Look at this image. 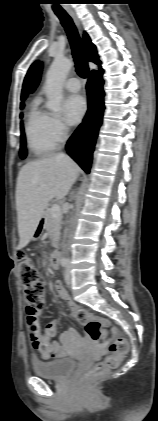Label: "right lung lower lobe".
Listing matches in <instances>:
<instances>
[{
	"label": "right lung lower lobe",
	"instance_id": "obj_1",
	"mask_svg": "<svg viewBox=\"0 0 158 421\" xmlns=\"http://www.w3.org/2000/svg\"><path fill=\"white\" fill-rule=\"evenodd\" d=\"M103 70L92 71L86 89L88 94V111L83 122L68 140L66 149L68 154L89 173L92 153L95 146L99 127L102 123L104 110Z\"/></svg>",
	"mask_w": 158,
	"mask_h": 421
}]
</instances>
